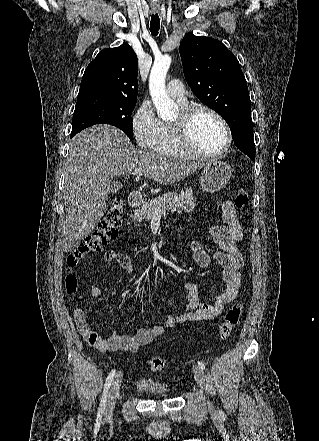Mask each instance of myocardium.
<instances>
[{
	"mask_svg": "<svg viewBox=\"0 0 319 441\" xmlns=\"http://www.w3.org/2000/svg\"><path fill=\"white\" fill-rule=\"evenodd\" d=\"M200 113H208L215 117L226 133V143L222 149L216 152H203L198 150L191 141V128L195 118ZM174 136L179 148L189 156L197 158H215L223 155L232 144V132L226 119L216 110L205 105H189L183 107L175 121L171 123Z\"/></svg>",
	"mask_w": 319,
	"mask_h": 441,
	"instance_id": "1",
	"label": "myocardium"
}]
</instances>
